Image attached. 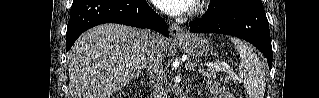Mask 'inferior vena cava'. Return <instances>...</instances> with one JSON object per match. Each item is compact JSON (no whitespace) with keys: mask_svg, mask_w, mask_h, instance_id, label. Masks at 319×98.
Returning a JSON list of instances; mask_svg holds the SVG:
<instances>
[{"mask_svg":"<svg viewBox=\"0 0 319 98\" xmlns=\"http://www.w3.org/2000/svg\"><path fill=\"white\" fill-rule=\"evenodd\" d=\"M148 48L146 52V67L151 79L152 98H167V79L162 64L163 36L156 32H148Z\"/></svg>","mask_w":319,"mask_h":98,"instance_id":"obj_1","label":"inferior vena cava"}]
</instances>
